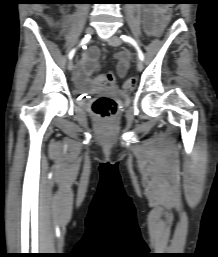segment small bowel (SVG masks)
<instances>
[{
  "mask_svg": "<svg viewBox=\"0 0 218 257\" xmlns=\"http://www.w3.org/2000/svg\"><path fill=\"white\" fill-rule=\"evenodd\" d=\"M160 11L161 8L146 6L143 8V27L144 30L150 34L154 35V30L156 29L157 21H160ZM99 50L95 46L89 47L82 56V61L76 70V79L79 83L83 84L86 80L91 79V74H96L99 70L98 65ZM128 70V55L121 54L119 56V63L117 67V72L120 77H124ZM103 74V73H100ZM94 86V84H92Z\"/></svg>",
  "mask_w": 218,
  "mask_h": 257,
  "instance_id": "small-bowel-1",
  "label": "small bowel"
}]
</instances>
